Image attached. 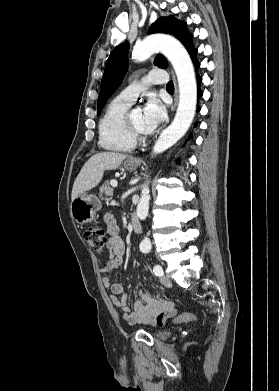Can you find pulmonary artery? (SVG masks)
<instances>
[{
    "label": "pulmonary artery",
    "instance_id": "obj_1",
    "mask_svg": "<svg viewBox=\"0 0 279 391\" xmlns=\"http://www.w3.org/2000/svg\"><path fill=\"white\" fill-rule=\"evenodd\" d=\"M167 80L168 75L166 72L161 70L152 71L140 80L132 82L129 86L123 89L119 93V97L129 102H133L142 91L147 89L149 85L164 83Z\"/></svg>",
    "mask_w": 279,
    "mask_h": 391
}]
</instances>
